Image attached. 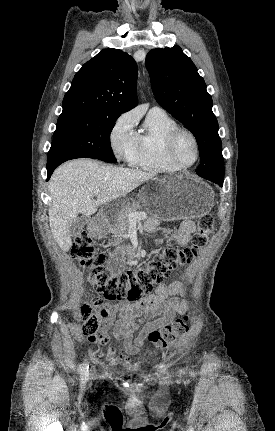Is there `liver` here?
Instances as JSON below:
<instances>
[{
	"label": "liver",
	"mask_w": 275,
	"mask_h": 431,
	"mask_svg": "<svg viewBox=\"0 0 275 431\" xmlns=\"http://www.w3.org/2000/svg\"><path fill=\"white\" fill-rule=\"evenodd\" d=\"M154 178L151 173L104 166L90 159H76L59 166L49 182L52 205L49 222L59 247L67 252L72 246L69 229L79 214L93 215L99 206L125 197L144 182ZM99 190L94 200V191Z\"/></svg>",
	"instance_id": "6515ba94"
}]
</instances>
